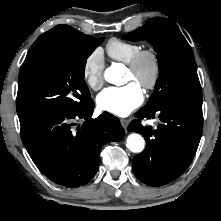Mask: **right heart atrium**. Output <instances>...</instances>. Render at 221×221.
I'll use <instances>...</instances> for the list:
<instances>
[{
    "instance_id": "1",
    "label": "right heart atrium",
    "mask_w": 221,
    "mask_h": 221,
    "mask_svg": "<svg viewBox=\"0 0 221 221\" xmlns=\"http://www.w3.org/2000/svg\"><path fill=\"white\" fill-rule=\"evenodd\" d=\"M105 61L100 48L93 49L85 58L82 76L89 88L98 90L104 83Z\"/></svg>"
}]
</instances>
